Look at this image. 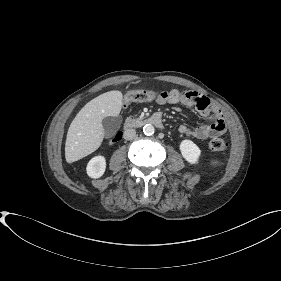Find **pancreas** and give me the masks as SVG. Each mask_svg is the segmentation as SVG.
<instances>
[{"label":"pancreas","instance_id":"1","mask_svg":"<svg viewBox=\"0 0 281 281\" xmlns=\"http://www.w3.org/2000/svg\"><path fill=\"white\" fill-rule=\"evenodd\" d=\"M130 121H132V118L131 117L127 118L126 122H130Z\"/></svg>","mask_w":281,"mask_h":281}]
</instances>
